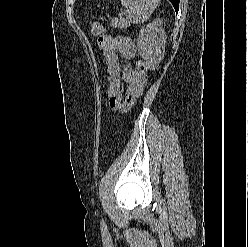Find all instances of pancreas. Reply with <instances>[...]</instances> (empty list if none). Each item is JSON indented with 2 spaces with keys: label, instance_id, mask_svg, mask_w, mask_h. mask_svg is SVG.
Returning <instances> with one entry per match:
<instances>
[{
  "label": "pancreas",
  "instance_id": "cf45deb5",
  "mask_svg": "<svg viewBox=\"0 0 248 247\" xmlns=\"http://www.w3.org/2000/svg\"><path fill=\"white\" fill-rule=\"evenodd\" d=\"M111 25L113 27L124 28L128 26V23L124 19L120 18L112 20Z\"/></svg>",
  "mask_w": 248,
  "mask_h": 247
}]
</instances>
